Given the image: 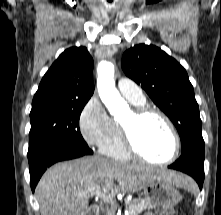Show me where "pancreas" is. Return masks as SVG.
I'll return each instance as SVG.
<instances>
[{
  "label": "pancreas",
  "mask_w": 221,
  "mask_h": 215,
  "mask_svg": "<svg viewBox=\"0 0 221 215\" xmlns=\"http://www.w3.org/2000/svg\"><path fill=\"white\" fill-rule=\"evenodd\" d=\"M129 215H139L142 211L153 208V206L143 199H134L125 201ZM113 210L109 209L107 215H112Z\"/></svg>",
  "instance_id": "1"
}]
</instances>
